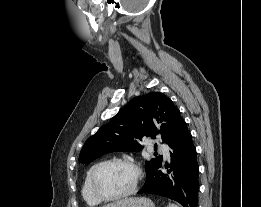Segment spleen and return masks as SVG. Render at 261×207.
<instances>
[{
  "label": "spleen",
  "instance_id": "spleen-1",
  "mask_svg": "<svg viewBox=\"0 0 261 207\" xmlns=\"http://www.w3.org/2000/svg\"><path fill=\"white\" fill-rule=\"evenodd\" d=\"M167 207H178V206L175 204H169Z\"/></svg>",
  "mask_w": 261,
  "mask_h": 207
}]
</instances>
